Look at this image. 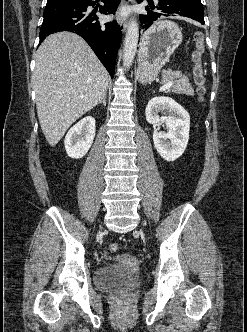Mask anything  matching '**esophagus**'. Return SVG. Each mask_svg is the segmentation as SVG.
I'll return each mask as SVG.
<instances>
[{
    "mask_svg": "<svg viewBox=\"0 0 247 332\" xmlns=\"http://www.w3.org/2000/svg\"><path fill=\"white\" fill-rule=\"evenodd\" d=\"M130 1L131 0H123V4H127ZM119 25H120L121 31L124 33L126 31V29H127V26H128L126 20L121 19Z\"/></svg>",
    "mask_w": 247,
    "mask_h": 332,
    "instance_id": "34e87169",
    "label": "esophagus"
}]
</instances>
